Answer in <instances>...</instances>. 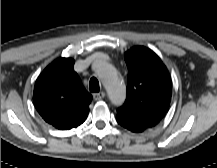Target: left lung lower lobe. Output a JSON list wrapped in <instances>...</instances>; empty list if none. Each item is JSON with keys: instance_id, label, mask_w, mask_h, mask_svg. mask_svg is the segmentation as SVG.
<instances>
[{"instance_id": "obj_1", "label": "left lung lower lobe", "mask_w": 217, "mask_h": 168, "mask_svg": "<svg viewBox=\"0 0 217 168\" xmlns=\"http://www.w3.org/2000/svg\"><path fill=\"white\" fill-rule=\"evenodd\" d=\"M121 126H123L124 128H126V129H128V130H130V131H132V132H134L135 131V129L134 128H132V127H130V126H128V125H124V124H120Z\"/></svg>"}]
</instances>
